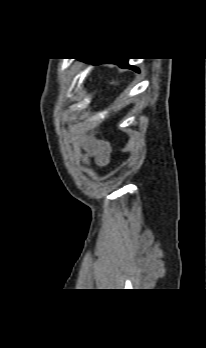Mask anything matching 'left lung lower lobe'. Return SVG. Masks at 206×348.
<instances>
[{"label": "left lung lower lobe", "mask_w": 206, "mask_h": 348, "mask_svg": "<svg viewBox=\"0 0 206 348\" xmlns=\"http://www.w3.org/2000/svg\"><path fill=\"white\" fill-rule=\"evenodd\" d=\"M86 60L89 61L90 59H86ZM99 63H114V64L119 65L122 68H129V69H132V70L138 72L137 68L128 65L127 59H118V60H104V59H102V60L97 61L95 64H99Z\"/></svg>", "instance_id": "1"}]
</instances>
